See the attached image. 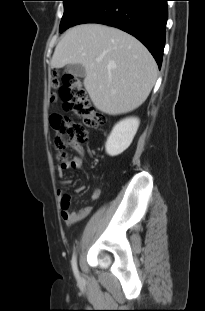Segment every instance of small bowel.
<instances>
[{"instance_id": "obj_1", "label": "small bowel", "mask_w": 205, "mask_h": 311, "mask_svg": "<svg viewBox=\"0 0 205 311\" xmlns=\"http://www.w3.org/2000/svg\"><path fill=\"white\" fill-rule=\"evenodd\" d=\"M78 155L74 156L69 161H66L65 163L61 164L57 167V171L61 178V187L57 190V195L60 201L61 206V217L65 221V223L69 225L76 224L86 218L92 211V207L87 205L79 210H72L71 206V198L70 196L65 192V186H67L70 183V180L64 176V172L68 170H78L81 168L83 159V149L77 148ZM85 187L82 186L79 188V192L84 191ZM100 195V189L93 190L91 194V199L95 200Z\"/></svg>"}]
</instances>
